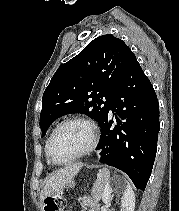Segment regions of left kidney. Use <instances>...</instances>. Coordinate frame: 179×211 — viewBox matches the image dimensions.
<instances>
[{
	"mask_svg": "<svg viewBox=\"0 0 179 211\" xmlns=\"http://www.w3.org/2000/svg\"><path fill=\"white\" fill-rule=\"evenodd\" d=\"M114 187H117L115 182L106 183L104 186L102 200L105 204L111 202L112 195L114 193ZM123 198L121 200L120 211H134L135 208V194L131 187L121 188Z\"/></svg>",
	"mask_w": 179,
	"mask_h": 211,
	"instance_id": "1",
	"label": "left kidney"
}]
</instances>
